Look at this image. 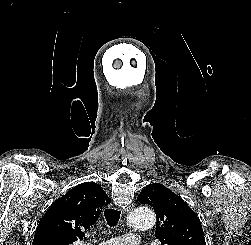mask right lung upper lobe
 Returning <instances> with one entry per match:
<instances>
[{"label": "right lung upper lobe", "mask_w": 251, "mask_h": 245, "mask_svg": "<svg viewBox=\"0 0 251 245\" xmlns=\"http://www.w3.org/2000/svg\"><path fill=\"white\" fill-rule=\"evenodd\" d=\"M102 187L82 183L56 200L40 220L32 245H71L84 237L110 203Z\"/></svg>", "instance_id": "1"}]
</instances>
